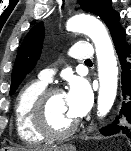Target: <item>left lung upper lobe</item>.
Listing matches in <instances>:
<instances>
[{
    "instance_id": "obj_1",
    "label": "left lung upper lobe",
    "mask_w": 131,
    "mask_h": 151,
    "mask_svg": "<svg viewBox=\"0 0 131 151\" xmlns=\"http://www.w3.org/2000/svg\"><path fill=\"white\" fill-rule=\"evenodd\" d=\"M77 2L83 11L98 15L106 23L112 39L125 32L119 24V13L111 9V0H77ZM43 38L44 23L40 22L28 32L20 46L12 71L10 95L36 65L41 54Z\"/></svg>"
}]
</instances>
